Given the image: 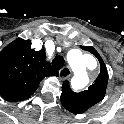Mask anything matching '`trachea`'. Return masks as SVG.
<instances>
[{"label": "trachea", "mask_w": 124, "mask_h": 124, "mask_svg": "<svg viewBox=\"0 0 124 124\" xmlns=\"http://www.w3.org/2000/svg\"><path fill=\"white\" fill-rule=\"evenodd\" d=\"M65 60L63 58V56H56L54 58V60L52 61V66L57 69L60 70L63 66H64Z\"/></svg>", "instance_id": "3493384b"}]
</instances>
